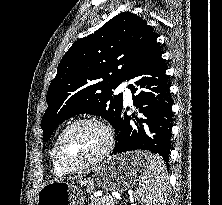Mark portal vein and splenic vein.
I'll return each mask as SVG.
<instances>
[{
  "instance_id": "obj_1",
  "label": "portal vein and splenic vein",
  "mask_w": 222,
  "mask_h": 205,
  "mask_svg": "<svg viewBox=\"0 0 222 205\" xmlns=\"http://www.w3.org/2000/svg\"><path fill=\"white\" fill-rule=\"evenodd\" d=\"M115 197H116L117 199H121V197H120L119 195H115Z\"/></svg>"
}]
</instances>
